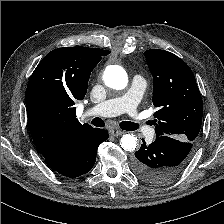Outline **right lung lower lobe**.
Returning a JSON list of instances; mask_svg holds the SVG:
<instances>
[{"mask_svg": "<svg viewBox=\"0 0 224 224\" xmlns=\"http://www.w3.org/2000/svg\"><path fill=\"white\" fill-rule=\"evenodd\" d=\"M104 129L93 128L79 139L69 142L60 154L47 165L57 173L74 178L89 172L95 164L99 145L108 139Z\"/></svg>", "mask_w": 224, "mask_h": 224, "instance_id": "1", "label": "right lung lower lobe"}]
</instances>
